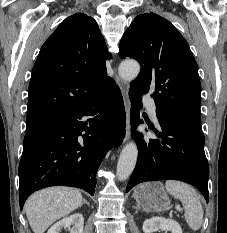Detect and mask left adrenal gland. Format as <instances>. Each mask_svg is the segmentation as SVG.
<instances>
[{"label":"left adrenal gland","mask_w":227,"mask_h":233,"mask_svg":"<svg viewBox=\"0 0 227 233\" xmlns=\"http://www.w3.org/2000/svg\"><path fill=\"white\" fill-rule=\"evenodd\" d=\"M135 209H136V210H139V207H138V206H136V207H135Z\"/></svg>","instance_id":"a2214340"}]
</instances>
